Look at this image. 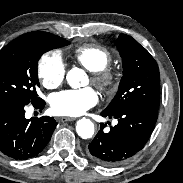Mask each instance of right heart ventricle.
Returning <instances> with one entry per match:
<instances>
[{
    "label": "right heart ventricle",
    "instance_id": "obj_1",
    "mask_svg": "<svg viewBox=\"0 0 183 183\" xmlns=\"http://www.w3.org/2000/svg\"><path fill=\"white\" fill-rule=\"evenodd\" d=\"M74 59L91 72L105 69L112 61L111 51L98 44L81 45L74 50Z\"/></svg>",
    "mask_w": 183,
    "mask_h": 183
}]
</instances>
